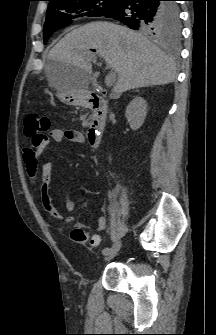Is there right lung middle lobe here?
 <instances>
[{
  "instance_id": "right-lung-middle-lobe-1",
  "label": "right lung middle lobe",
  "mask_w": 216,
  "mask_h": 335,
  "mask_svg": "<svg viewBox=\"0 0 216 335\" xmlns=\"http://www.w3.org/2000/svg\"><path fill=\"white\" fill-rule=\"evenodd\" d=\"M120 0H54L46 13L44 24V43L47 42L53 32L72 22V19L82 16H105ZM176 4V3H175ZM177 6V4H176ZM178 7V6H177ZM148 34H153L149 30H143ZM180 33V22L177 20L172 29L163 31L158 35L178 36Z\"/></svg>"
}]
</instances>
